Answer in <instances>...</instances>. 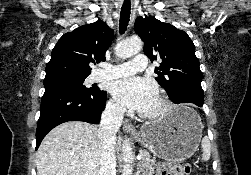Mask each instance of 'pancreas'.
I'll list each match as a JSON object with an SVG mask.
<instances>
[{"label": "pancreas", "instance_id": "obj_1", "mask_svg": "<svg viewBox=\"0 0 251 175\" xmlns=\"http://www.w3.org/2000/svg\"><path fill=\"white\" fill-rule=\"evenodd\" d=\"M139 155H142V159L139 163L141 169H143V175H153L155 169L154 165H156L155 159H152L147 149H140Z\"/></svg>", "mask_w": 251, "mask_h": 175}]
</instances>
